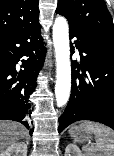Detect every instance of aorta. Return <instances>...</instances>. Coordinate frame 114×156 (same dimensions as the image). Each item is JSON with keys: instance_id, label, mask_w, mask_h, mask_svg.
<instances>
[{"instance_id": "1", "label": "aorta", "mask_w": 114, "mask_h": 156, "mask_svg": "<svg viewBox=\"0 0 114 156\" xmlns=\"http://www.w3.org/2000/svg\"><path fill=\"white\" fill-rule=\"evenodd\" d=\"M53 43L56 53L55 96L57 106L62 107L68 102L71 90L69 28L66 19L62 16L55 19Z\"/></svg>"}]
</instances>
